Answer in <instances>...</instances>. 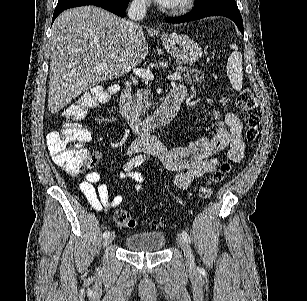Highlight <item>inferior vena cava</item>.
Instances as JSON below:
<instances>
[{
	"mask_svg": "<svg viewBox=\"0 0 307 301\" xmlns=\"http://www.w3.org/2000/svg\"><path fill=\"white\" fill-rule=\"evenodd\" d=\"M150 0H132L128 8V16L130 20H127L126 26L130 30V34H136L138 24L137 20H142L146 14L147 6Z\"/></svg>",
	"mask_w": 307,
	"mask_h": 301,
	"instance_id": "inferior-vena-cava-1",
	"label": "inferior vena cava"
}]
</instances>
